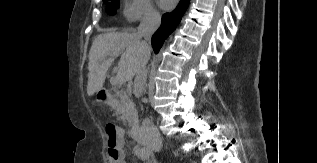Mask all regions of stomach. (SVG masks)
Here are the masks:
<instances>
[{
    "label": "stomach",
    "instance_id": "obj_1",
    "mask_svg": "<svg viewBox=\"0 0 317 163\" xmlns=\"http://www.w3.org/2000/svg\"><path fill=\"white\" fill-rule=\"evenodd\" d=\"M95 101L98 103H105L106 102V95L102 91H98L95 95Z\"/></svg>",
    "mask_w": 317,
    "mask_h": 163
}]
</instances>
